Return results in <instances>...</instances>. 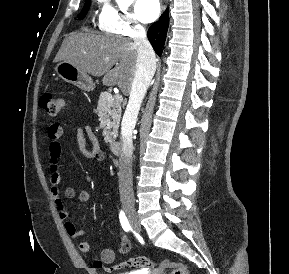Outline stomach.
I'll return each instance as SVG.
<instances>
[{
  "label": "stomach",
  "instance_id": "obj_1",
  "mask_svg": "<svg viewBox=\"0 0 289 274\" xmlns=\"http://www.w3.org/2000/svg\"><path fill=\"white\" fill-rule=\"evenodd\" d=\"M55 72L62 80L71 83L84 91H93L95 84L91 77L69 63L68 61H60L55 66Z\"/></svg>",
  "mask_w": 289,
  "mask_h": 274
}]
</instances>
